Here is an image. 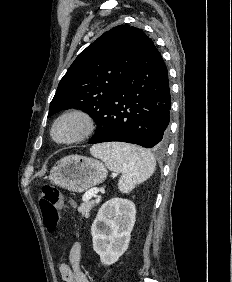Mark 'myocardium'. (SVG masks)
<instances>
[{
  "mask_svg": "<svg viewBox=\"0 0 232 282\" xmlns=\"http://www.w3.org/2000/svg\"><path fill=\"white\" fill-rule=\"evenodd\" d=\"M74 123L77 125V131L68 137L58 138L56 130L63 124ZM96 129V122L93 116L83 109H70L55 118L52 122L49 135L51 140L60 146H69L81 143L92 136Z\"/></svg>",
  "mask_w": 232,
  "mask_h": 282,
  "instance_id": "f54148a6",
  "label": "myocardium"
}]
</instances>
